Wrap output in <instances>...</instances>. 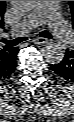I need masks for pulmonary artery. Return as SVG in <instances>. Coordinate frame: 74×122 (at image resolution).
Masks as SVG:
<instances>
[{
  "instance_id": "obj_1",
  "label": "pulmonary artery",
  "mask_w": 74,
  "mask_h": 122,
  "mask_svg": "<svg viewBox=\"0 0 74 122\" xmlns=\"http://www.w3.org/2000/svg\"><path fill=\"white\" fill-rule=\"evenodd\" d=\"M58 1H39L36 8L15 27L16 32H25L47 22L64 45L73 42V34L59 14Z\"/></svg>"
}]
</instances>
